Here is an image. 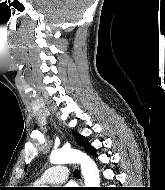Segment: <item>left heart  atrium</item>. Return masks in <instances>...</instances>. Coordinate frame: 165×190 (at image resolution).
<instances>
[{
  "mask_svg": "<svg viewBox=\"0 0 165 190\" xmlns=\"http://www.w3.org/2000/svg\"><path fill=\"white\" fill-rule=\"evenodd\" d=\"M64 190H72L71 187H66Z\"/></svg>",
  "mask_w": 165,
  "mask_h": 190,
  "instance_id": "obj_1",
  "label": "left heart atrium"
}]
</instances>
